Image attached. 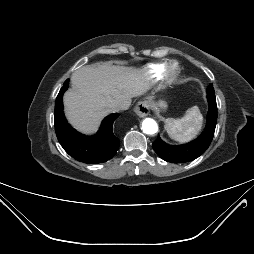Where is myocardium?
<instances>
[{
	"mask_svg": "<svg viewBox=\"0 0 254 254\" xmlns=\"http://www.w3.org/2000/svg\"><path fill=\"white\" fill-rule=\"evenodd\" d=\"M181 69L177 62H170L167 64L164 77L167 81L172 82L175 81L180 75Z\"/></svg>",
	"mask_w": 254,
	"mask_h": 254,
	"instance_id": "1",
	"label": "myocardium"
}]
</instances>
